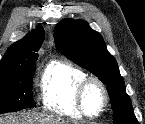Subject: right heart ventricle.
I'll return each instance as SVG.
<instances>
[{"label": "right heart ventricle", "mask_w": 145, "mask_h": 124, "mask_svg": "<svg viewBox=\"0 0 145 124\" xmlns=\"http://www.w3.org/2000/svg\"><path fill=\"white\" fill-rule=\"evenodd\" d=\"M86 73L65 61L55 60L44 69L40 81V94L46 110L67 118H81L76 91Z\"/></svg>", "instance_id": "right-heart-ventricle-1"}]
</instances>
